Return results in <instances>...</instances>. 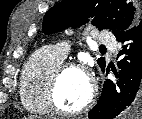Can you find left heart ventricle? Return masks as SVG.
<instances>
[{
  "mask_svg": "<svg viewBox=\"0 0 142 119\" xmlns=\"http://www.w3.org/2000/svg\"><path fill=\"white\" fill-rule=\"evenodd\" d=\"M90 92L87 77L80 71H68L59 84L57 101L67 110L80 107L88 98Z\"/></svg>",
  "mask_w": 142,
  "mask_h": 119,
  "instance_id": "left-heart-ventricle-1",
  "label": "left heart ventricle"
}]
</instances>
